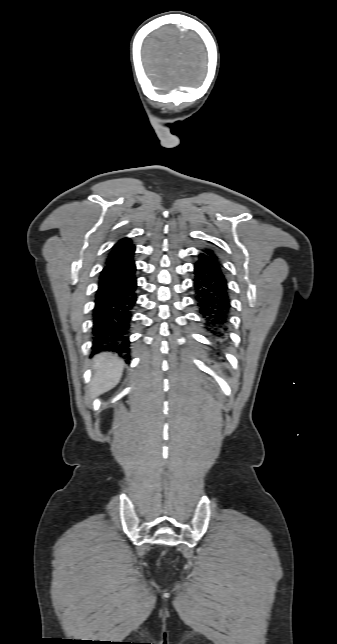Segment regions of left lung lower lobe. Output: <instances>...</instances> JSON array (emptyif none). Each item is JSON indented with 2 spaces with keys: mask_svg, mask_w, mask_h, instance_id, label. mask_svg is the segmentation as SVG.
<instances>
[{
  "mask_svg": "<svg viewBox=\"0 0 337 644\" xmlns=\"http://www.w3.org/2000/svg\"><path fill=\"white\" fill-rule=\"evenodd\" d=\"M195 304L205 329L216 338L224 339L230 319V296L223 266L219 259L199 253L194 264Z\"/></svg>",
  "mask_w": 337,
  "mask_h": 644,
  "instance_id": "1",
  "label": "left lung lower lobe"
}]
</instances>
